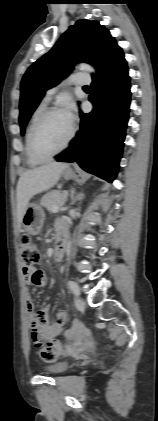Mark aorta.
<instances>
[{"label":"aorta","mask_w":158,"mask_h":421,"mask_svg":"<svg viewBox=\"0 0 158 421\" xmlns=\"http://www.w3.org/2000/svg\"><path fill=\"white\" fill-rule=\"evenodd\" d=\"M78 67L82 70H85V71H88V72H91V73H95V69L89 64L81 63V64L78 65Z\"/></svg>","instance_id":"aorta-1"}]
</instances>
